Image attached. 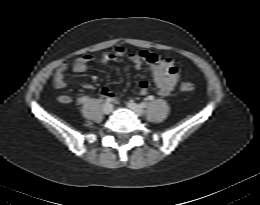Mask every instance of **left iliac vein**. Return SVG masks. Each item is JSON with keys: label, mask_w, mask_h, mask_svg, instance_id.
I'll use <instances>...</instances> for the list:
<instances>
[{"label": "left iliac vein", "mask_w": 260, "mask_h": 205, "mask_svg": "<svg viewBox=\"0 0 260 205\" xmlns=\"http://www.w3.org/2000/svg\"><path fill=\"white\" fill-rule=\"evenodd\" d=\"M128 108L132 110L138 117H140L143 113L142 108L140 105L130 101L127 104Z\"/></svg>", "instance_id": "4c4485c4"}]
</instances>
